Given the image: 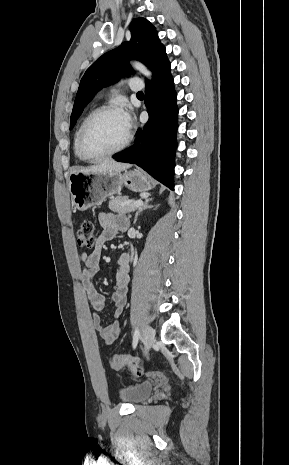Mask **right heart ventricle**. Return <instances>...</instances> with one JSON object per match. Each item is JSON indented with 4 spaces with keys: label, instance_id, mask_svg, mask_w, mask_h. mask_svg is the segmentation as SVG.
Masks as SVG:
<instances>
[{
    "label": "right heart ventricle",
    "instance_id": "right-heart-ventricle-1",
    "mask_svg": "<svg viewBox=\"0 0 289 465\" xmlns=\"http://www.w3.org/2000/svg\"><path fill=\"white\" fill-rule=\"evenodd\" d=\"M88 113H86L80 120V122L78 123L77 127H76V130H75V133H74V137H73V149H74V153L76 155V157L81 160V161H85L80 153H79V150H78V138H79V133H80V129H81V126L83 124V121L85 120V118L87 117Z\"/></svg>",
    "mask_w": 289,
    "mask_h": 465
}]
</instances>
